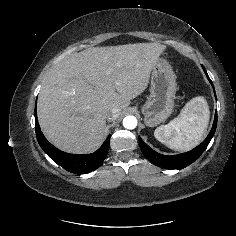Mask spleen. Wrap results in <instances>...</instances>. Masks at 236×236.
<instances>
[{"instance_id":"obj_1","label":"spleen","mask_w":236,"mask_h":236,"mask_svg":"<svg viewBox=\"0 0 236 236\" xmlns=\"http://www.w3.org/2000/svg\"><path fill=\"white\" fill-rule=\"evenodd\" d=\"M209 113L205 98L195 97L185 104L177 118L156 128L154 136L170 149L188 151L202 140Z\"/></svg>"}]
</instances>
